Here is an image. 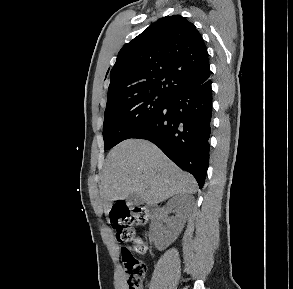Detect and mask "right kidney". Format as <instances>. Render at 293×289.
Returning <instances> with one entry per match:
<instances>
[{"label":"right kidney","mask_w":293,"mask_h":289,"mask_svg":"<svg viewBox=\"0 0 293 289\" xmlns=\"http://www.w3.org/2000/svg\"><path fill=\"white\" fill-rule=\"evenodd\" d=\"M182 206V198L181 196L177 195L171 198L167 202L166 206L160 209L159 220H162L164 216L172 211L177 213L170 223L168 230L165 231V238L167 239L168 243L173 242L177 238L186 222V213Z\"/></svg>","instance_id":"right-kidney-1"}]
</instances>
